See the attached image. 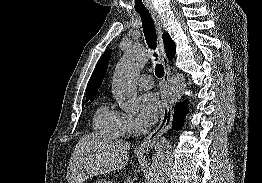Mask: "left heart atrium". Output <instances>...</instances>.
I'll use <instances>...</instances> for the list:
<instances>
[{"instance_id":"left-heart-atrium-1","label":"left heart atrium","mask_w":262,"mask_h":183,"mask_svg":"<svg viewBox=\"0 0 262 183\" xmlns=\"http://www.w3.org/2000/svg\"><path fill=\"white\" fill-rule=\"evenodd\" d=\"M139 120L145 126L153 125L161 112L162 105L155 93H145L139 98Z\"/></svg>"}]
</instances>
